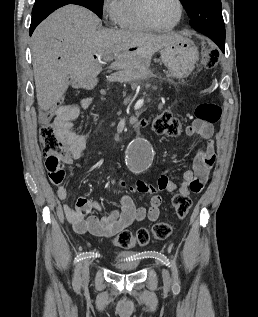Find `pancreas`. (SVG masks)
<instances>
[{"mask_svg":"<svg viewBox=\"0 0 258 317\" xmlns=\"http://www.w3.org/2000/svg\"><path fill=\"white\" fill-rule=\"evenodd\" d=\"M146 81V83H151V81L153 82L154 80L151 78H145L144 77H138V78H117V83H129L130 85H134L133 87L136 88V92H141V87H145L143 86H139L137 87V84H144ZM136 84V85H135ZM148 88L150 87L149 85L147 86Z\"/></svg>","mask_w":258,"mask_h":317,"instance_id":"cf45deb5","label":"pancreas"}]
</instances>
